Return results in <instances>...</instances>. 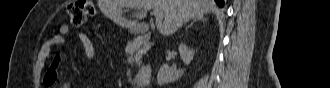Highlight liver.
<instances>
[{
    "label": "liver",
    "mask_w": 330,
    "mask_h": 88,
    "mask_svg": "<svg viewBox=\"0 0 330 88\" xmlns=\"http://www.w3.org/2000/svg\"><path fill=\"white\" fill-rule=\"evenodd\" d=\"M98 7L106 17L132 30L138 22L123 17V8L135 9L133 18L137 19L144 18L151 8L158 9L164 15L158 31L165 36L175 33L183 23L216 10L212 0H98Z\"/></svg>",
    "instance_id": "1"
}]
</instances>
